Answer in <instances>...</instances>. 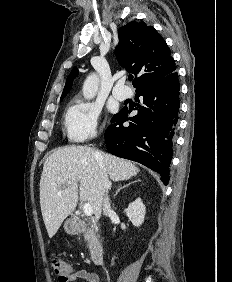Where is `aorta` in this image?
I'll return each instance as SVG.
<instances>
[{"label":"aorta","instance_id":"obj_1","mask_svg":"<svg viewBox=\"0 0 232 282\" xmlns=\"http://www.w3.org/2000/svg\"><path fill=\"white\" fill-rule=\"evenodd\" d=\"M99 88V77L97 74H90L84 81L82 92L86 99H92L95 97Z\"/></svg>","mask_w":232,"mask_h":282}]
</instances>
